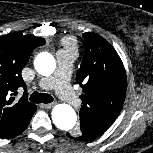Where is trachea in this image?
<instances>
[{"label": "trachea", "instance_id": "obj_1", "mask_svg": "<svg viewBox=\"0 0 153 153\" xmlns=\"http://www.w3.org/2000/svg\"><path fill=\"white\" fill-rule=\"evenodd\" d=\"M30 101L34 103H51L53 102V97L50 94L33 92L30 95Z\"/></svg>", "mask_w": 153, "mask_h": 153}]
</instances>
